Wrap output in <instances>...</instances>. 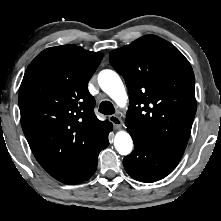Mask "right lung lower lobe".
Wrapping results in <instances>:
<instances>
[{
	"label": "right lung lower lobe",
	"instance_id": "right-lung-lower-lobe-1",
	"mask_svg": "<svg viewBox=\"0 0 221 221\" xmlns=\"http://www.w3.org/2000/svg\"><path fill=\"white\" fill-rule=\"evenodd\" d=\"M111 130L112 125L110 123L103 136L86 155L69 170L55 178L66 184H77L90 178L96 171L100 151L109 145L108 134Z\"/></svg>",
	"mask_w": 221,
	"mask_h": 221
}]
</instances>
